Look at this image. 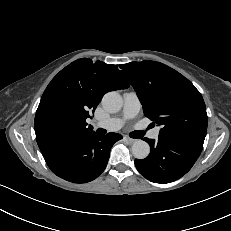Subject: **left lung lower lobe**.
Returning <instances> with one entry per match:
<instances>
[{"mask_svg": "<svg viewBox=\"0 0 231 231\" xmlns=\"http://www.w3.org/2000/svg\"><path fill=\"white\" fill-rule=\"evenodd\" d=\"M205 137L190 133L159 134L158 141L144 138L150 154L135 159L140 174L155 183H170L185 175L198 159Z\"/></svg>", "mask_w": 231, "mask_h": 231, "instance_id": "0a47b994", "label": "left lung lower lobe"}]
</instances>
